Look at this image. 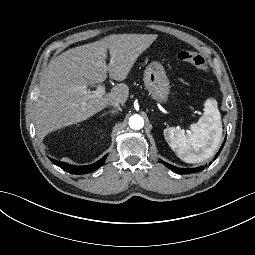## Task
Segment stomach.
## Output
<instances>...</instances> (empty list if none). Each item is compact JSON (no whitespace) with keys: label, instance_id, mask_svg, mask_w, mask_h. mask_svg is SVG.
<instances>
[{"label":"stomach","instance_id":"obj_1","mask_svg":"<svg viewBox=\"0 0 255 255\" xmlns=\"http://www.w3.org/2000/svg\"><path fill=\"white\" fill-rule=\"evenodd\" d=\"M144 85L153 99L163 103L167 101L170 85L162 66H155L145 70Z\"/></svg>","mask_w":255,"mask_h":255}]
</instances>
